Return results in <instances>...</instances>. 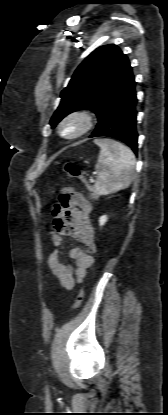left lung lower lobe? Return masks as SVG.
Listing matches in <instances>:
<instances>
[{
	"label": "left lung lower lobe",
	"instance_id": "left-lung-lower-lobe-1",
	"mask_svg": "<svg viewBox=\"0 0 168 415\" xmlns=\"http://www.w3.org/2000/svg\"><path fill=\"white\" fill-rule=\"evenodd\" d=\"M133 79L106 105L89 137L107 136L126 143L137 154V97Z\"/></svg>",
	"mask_w": 168,
	"mask_h": 415
}]
</instances>
